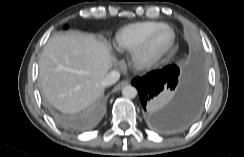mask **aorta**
<instances>
[{"label": "aorta", "mask_w": 244, "mask_h": 157, "mask_svg": "<svg viewBox=\"0 0 244 157\" xmlns=\"http://www.w3.org/2000/svg\"><path fill=\"white\" fill-rule=\"evenodd\" d=\"M122 95L126 98H135L137 95V89L132 85H126L122 89Z\"/></svg>", "instance_id": "762f6f07"}]
</instances>
